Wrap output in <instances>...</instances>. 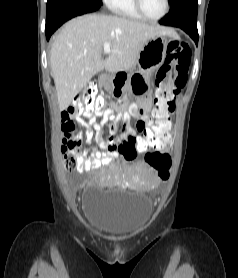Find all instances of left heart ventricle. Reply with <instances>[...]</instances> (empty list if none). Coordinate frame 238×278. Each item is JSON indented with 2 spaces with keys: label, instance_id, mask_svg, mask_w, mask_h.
I'll list each match as a JSON object with an SVG mask.
<instances>
[{
  "label": "left heart ventricle",
  "instance_id": "left-heart-ventricle-1",
  "mask_svg": "<svg viewBox=\"0 0 238 278\" xmlns=\"http://www.w3.org/2000/svg\"><path fill=\"white\" fill-rule=\"evenodd\" d=\"M146 14L152 18L161 16L165 10V0H142Z\"/></svg>",
  "mask_w": 238,
  "mask_h": 278
}]
</instances>
